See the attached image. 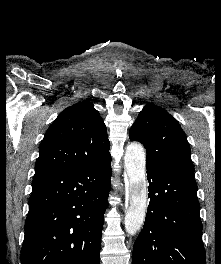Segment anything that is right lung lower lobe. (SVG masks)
<instances>
[{
  "label": "right lung lower lobe",
  "mask_w": 221,
  "mask_h": 264,
  "mask_svg": "<svg viewBox=\"0 0 221 264\" xmlns=\"http://www.w3.org/2000/svg\"><path fill=\"white\" fill-rule=\"evenodd\" d=\"M110 162L34 177L21 264H100Z\"/></svg>",
  "instance_id": "right-lung-lower-lobe-1"
}]
</instances>
